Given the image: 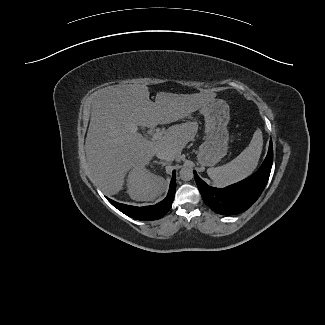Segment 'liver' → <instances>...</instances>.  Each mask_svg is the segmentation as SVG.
<instances>
[{
    "label": "liver",
    "mask_w": 325,
    "mask_h": 325,
    "mask_svg": "<svg viewBox=\"0 0 325 325\" xmlns=\"http://www.w3.org/2000/svg\"><path fill=\"white\" fill-rule=\"evenodd\" d=\"M149 95L147 86L136 84L109 86L92 95L86 157L91 178L107 194L122 190L127 172L142 171L160 149L172 151L180 161L183 148L198 130L196 122L177 124L161 139L149 141L137 132V126L182 120L216 97L213 92H158L152 102Z\"/></svg>",
    "instance_id": "obj_1"
}]
</instances>
